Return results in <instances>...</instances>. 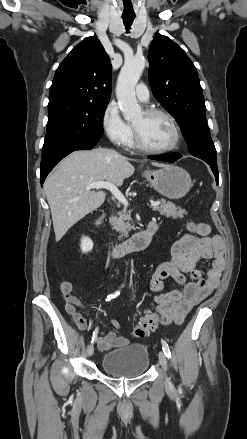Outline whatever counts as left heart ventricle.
<instances>
[{"label":"left heart ventricle","instance_id":"obj_1","mask_svg":"<svg viewBox=\"0 0 247 439\" xmlns=\"http://www.w3.org/2000/svg\"><path fill=\"white\" fill-rule=\"evenodd\" d=\"M141 134L144 143L152 148H164L172 144L174 130L164 116L147 117L142 113L133 123Z\"/></svg>","mask_w":247,"mask_h":439}]
</instances>
